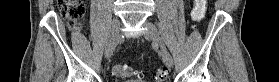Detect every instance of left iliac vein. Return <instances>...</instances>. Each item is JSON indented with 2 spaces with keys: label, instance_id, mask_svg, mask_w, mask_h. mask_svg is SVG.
<instances>
[{
  "label": "left iliac vein",
  "instance_id": "left-iliac-vein-1",
  "mask_svg": "<svg viewBox=\"0 0 279 82\" xmlns=\"http://www.w3.org/2000/svg\"><path fill=\"white\" fill-rule=\"evenodd\" d=\"M145 26H146V30L143 32L144 37L148 40L157 41L160 44L161 54H162V59L164 64L168 68H172L174 64L173 58L169 53V51L167 50V48L165 47V45L163 44V42L161 41L158 35L157 27L149 21L145 22Z\"/></svg>",
  "mask_w": 279,
  "mask_h": 82
}]
</instances>
